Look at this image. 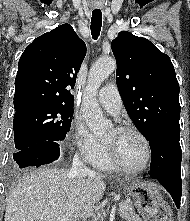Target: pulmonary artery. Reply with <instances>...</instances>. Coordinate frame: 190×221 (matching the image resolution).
<instances>
[{
  "mask_svg": "<svg viewBox=\"0 0 190 221\" xmlns=\"http://www.w3.org/2000/svg\"><path fill=\"white\" fill-rule=\"evenodd\" d=\"M97 99L101 106L113 115H117L122 107V99L115 84H107L100 89Z\"/></svg>",
  "mask_w": 190,
  "mask_h": 221,
  "instance_id": "pulmonary-artery-1",
  "label": "pulmonary artery"
}]
</instances>
